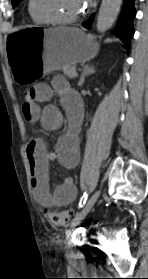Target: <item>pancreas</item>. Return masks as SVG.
Segmentation results:
<instances>
[{"mask_svg":"<svg viewBox=\"0 0 148 279\" xmlns=\"http://www.w3.org/2000/svg\"><path fill=\"white\" fill-rule=\"evenodd\" d=\"M63 73L70 79L77 77L76 66L75 65H65L62 67Z\"/></svg>","mask_w":148,"mask_h":279,"instance_id":"cf45deb5","label":"pancreas"}]
</instances>
